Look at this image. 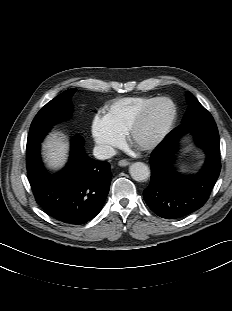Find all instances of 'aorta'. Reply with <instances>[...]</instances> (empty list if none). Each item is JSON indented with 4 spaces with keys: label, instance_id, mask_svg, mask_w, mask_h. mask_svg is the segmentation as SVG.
Returning <instances> with one entry per match:
<instances>
[{
    "label": "aorta",
    "instance_id": "1",
    "mask_svg": "<svg viewBox=\"0 0 232 311\" xmlns=\"http://www.w3.org/2000/svg\"><path fill=\"white\" fill-rule=\"evenodd\" d=\"M129 173L135 181L139 182L147 180L150 176L149 167L143 162L132 163Z\"/></svg>",
    "mask_w": 232,
    "mask_h": 311
}]
</instances>
